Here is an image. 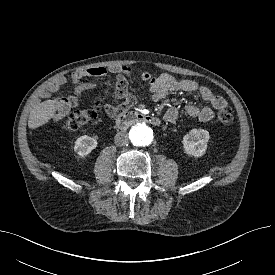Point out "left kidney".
<instances>
[{"mask_svg":"<svg viewBox=\"0 0 275 275\" xmlns=\"http://www.w3.org/2000/svg\"><path fill=\"white\" fill-rule=\"evenodd\" d=\"M209 132L204 129H192L183 137L184 152L191 157H201L207 150Z\"/></svg>","mask_w":275,"mask_h":275,"instance_id":"1","label":"left kidney"}]
</instances>
